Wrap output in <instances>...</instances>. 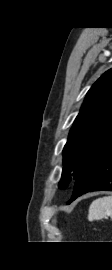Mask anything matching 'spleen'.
Returning a JSON list of instances; mask_svg holds the SVG:
<instances>
[{"label":"spleen","instance_id":"spleen-1","mask_svg":"<svg viewBox=\"0 0 112 270\" xmlns=\"http://www.w3.org/2000/svg\"><path fill=\"white\" fill-rule=\"evenodd\" d=\"M106 216L112 220V196L98 198L89 207V221L99 220Z\"/></svg>","mask_w":112,"mask_h":270}]
</instances>
